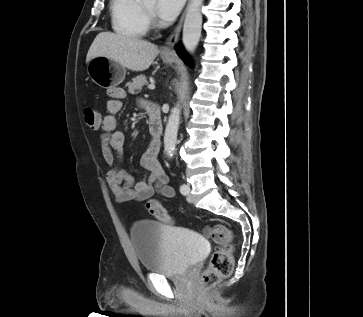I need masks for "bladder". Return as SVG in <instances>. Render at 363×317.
<instances>
[{"label":"bladder","mask_w":363,"mask_h":317,"mask_svg":"<svg viewBox=\"0 0 363 317\" xmlns=\"http://www.w3.org/2000/svg\"><path fill=\"white\" fill-rule=\"evenodd\" d=\"M131 239L143 270L164 276L184 273L208 253L202 233L156 221L134 224Z\"/></svg>","instance_id":"31cf9c89"}]
</instances>
